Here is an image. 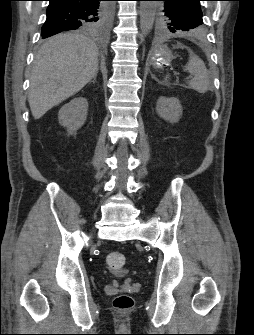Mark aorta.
<instances>
[{
	"mask_svg": "<svg viewBox=\"0 0 254 335\" xmlns=\"http://www.w3.org/2000/svg\"><path fill=\"white\" fill-rule=\"evenodd\" d=\"M156 2L154 1H141L140 2V37L144 38L151 31L155 15H156Z\"/></svg>",
	"mask_w": 254,
	"mask_h": 335,
	"instance_id": "762f6f07",
	"label": "aorta"
}]
</instances>
